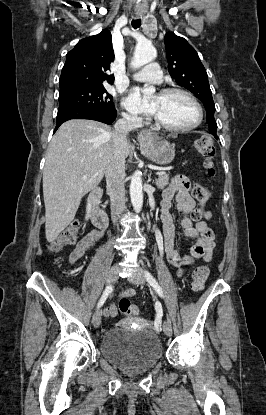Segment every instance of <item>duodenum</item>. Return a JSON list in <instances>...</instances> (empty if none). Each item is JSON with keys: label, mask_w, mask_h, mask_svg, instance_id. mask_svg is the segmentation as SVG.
Segmentation results:
<instances>
[{"label": "duodenum", "mask_w": 266, "mask_h": 415, "mask_svg": "<svg viewBox=\"0 0 266 415\" xmlns=\"http://www.w3.org/2000/svg\"><path fill=\"white\" fill-rule=\"evenodd\" d=\"M101 195L100 188L94 189L88 198V208L92 223L99 229H105L108 225V216L99 206Z\"/></svg>", "instance_id": "obj_1"}]
</instances>
